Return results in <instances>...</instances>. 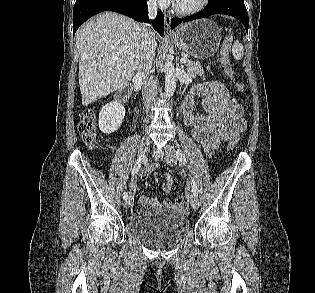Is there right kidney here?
I'll return each mask as SVG.
<instances>
[{
  "mask_svg": "<svg viewBox=\"0 0 315 293\" xmlns=\"http://www.w3.org/2000/svg\"><path fill=\"white\" fill-rule=\"evenodd\" d=\"M125 116V108L117 101L104 105L99 113V129L104 134H111L118 130Z\"/></svg>",
  "mask_w": 315,
  "mask_h": 293,
  "instance_id": "obj_1",
  "label": "right kidney"
}]
</instances>
